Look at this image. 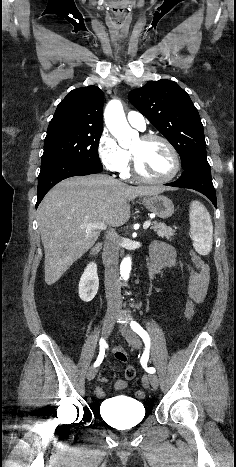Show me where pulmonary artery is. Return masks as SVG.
I'll return each mask as SVG.
<instances>
[{"label":"pulmonary artery","mask_w":236,"mask_h":467,"mask_svg":"<svg viewBox=\"0 0 236 467\" xmlns=\"http://www.w3.org/2000/svg\"><path fill=\"white\" fill-rule=\"evenodd\" d=\"M127 120L131 126L143 131L146 128V122L144 116L136 111H130L127 114Z\"/></svg>","instance_id":"pulmonary-artery-1"}]
</instances>
